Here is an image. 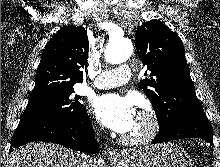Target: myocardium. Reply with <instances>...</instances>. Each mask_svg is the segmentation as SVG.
Segmentation results:
<instances>
[{
	"mask_svg": "<svg viewBox=\"0 0 220 167\" xmlns=\"http://www.w3.org/2000/svg\"><path fill=\"white\" fill-rule=\"evenodd\" d=\"M144 118L146 127L142 133L136 136L123 135L121 140L128 145H142L151 142L158 135L161 123L157 113L152 108L142 109L138 113Z\"/></svg>",
	"mask_w": 220,
	"mask_h": 167,
	"instance_id": "f54148a6",
	"label": "myocardium"
}]
</instances>
